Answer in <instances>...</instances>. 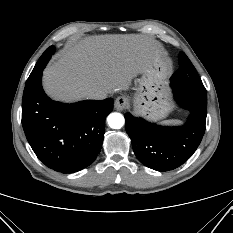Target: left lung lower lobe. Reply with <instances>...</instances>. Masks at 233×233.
Instances as JSON below:
<instances>
[{
    "label": "left lung lower lobe",
    "instance_id": "obj_1",
    "mask_svg": "<svg viewBox=\"0 0 233 233\" xmlns=\"http://www.w3.org/2000/svg\"><path fill=\"white\" fill-rule=\"evenodd\" d=\"M187 56L180 52L179 64ZM174 98L179 105L191 111L181 127H163L142 118L125 114L126 131L138 160L145 166L160 171L173 170L193 155L205 132L207 115L206 89L181 85L171 80Z\"/></svg>",
    "mask_w": 233,
    "mask_h": 233
}]
</instances>
